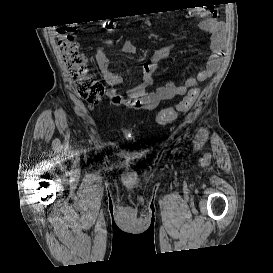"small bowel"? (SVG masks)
Instances as JSON below:
<instances>
[{
  "mask_svg": "<svg viewBox=\"0 0 273 273\" xmlns=\"http://www.w3.org/2000/svg\"><path fill=\"white\" fill-rule=\"evenodd\" d=\"M214 11H192L189 17L201 18V27L211 34V54L203 69L195 76L186 79L184 84L177 85L174 82H168L164 85L156 86L153 91L148 88L154 85L153 74L157 68L158 62L167 59L171 52L176 48L175 43L168 44L153 50L150 60L142 66L140 82L129 89L125 95L117 91V86L121 83V77L113 73L109 68V59L102 48L95 51V59L99 71L109 86L105 95L109 102L116 106H124L132 109L154 110L161 101L171 100L177 96H183L191 90H197L200 82L211 77L219 68L225 51V27L222 22L214 16ZM112 41H107V44ZM123 51L128 54L137 52L136 46L126 40L123 45Z\"/></svg>",
  "mask_w": 273,
  "mask_h": 273,
  "instance_id": "obj_1",
  "label": "small bowel"
}]
</instances>
